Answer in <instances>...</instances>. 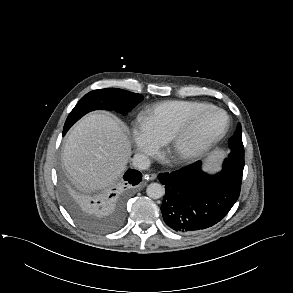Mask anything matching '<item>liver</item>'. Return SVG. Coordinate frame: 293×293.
I'll list each match as a JSON object with an SVG mask.
<instances>
[{
	"label": "liver",
	"instance_id": "liver-1",
	"mask_svg": "<svg viewBox=\"0 0 293 293\" xmlns=\"http://www.w3.org/2000/svg\"><path fill=\"white\" fill-rule=\"evenodd\" d=\"M131 155L124 125L102 113L82 118L66 139L62 160L72 182L87 191L114 184Z\"/></svg>",
	"mask_w": 293,
	"mask_h": 293
}]
</instances>
